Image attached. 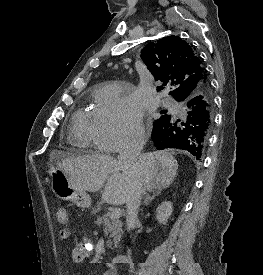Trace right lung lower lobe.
<instances>
[{
    "mask_svg": "<svg viewBox=\"0 0 263 275\" xmlns=\"http://www.w3.org/2000/svg\"><path fill=\"white\" fill-rule=\"evenodd\" d=\"M186 110L183 118L174 115L161 116L154 122L152 140L158 150L177 148L190 152L198 160L207 145L212 122V90L207 82L195 94L177 99Z\"/></svg>",
    "mask_w": 263,
    "mask_h": 275,
    "instance_id": "right-lung-lower-lobe-1",
    "label": "right lung lower lobe"
}]
</instances>
